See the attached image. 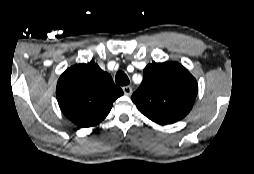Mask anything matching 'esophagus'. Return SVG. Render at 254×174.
<instances>
[{
    "mask_svg": "<svg viewBox=\"0 0 254 174\" xmlns=\"http://www.w3.org/2000/svg\"><path fill=\"white\" fill-rule=\"evenodd\" d=\"M122 89H123L124 94L127 96H130L133 92L131 86H124Z\"/></svg>",
    "mask_w": 254,
    "mask_h": 174,
    "instance_id": "1",
    "label": "esophagus"
}]
</instances>
